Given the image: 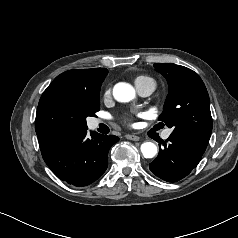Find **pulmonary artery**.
<instances>
[{
  "instance_id": "obj_1",
  "label": "pulmonary artery",
  "mask_w": 238,
  "mask_h": 238,
  "mask_svg": "<svg viewBox=\"0 0 238 238\" xmlns=\"http://www.w3.org/2000/svg\"><path fill=\"white\" fill-rule=\"evenodd\" d=\"M155 89V86L152 85V84H147V85H144V86H141L139 88H137L138 92L140 95L142 96H148L150 95ZM99 121H97L98 123ZM171 134V130H166L163 134V138L164 139H167Z\"/></svg>"
}]
</instances>
